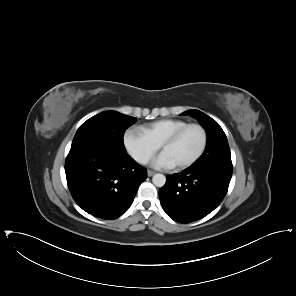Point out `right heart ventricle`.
Returning <instances> with one entry per match:
<instances>
[{
    "instance_id": "right-heart-ventricle-1",
    "label": "right heart ventricle",
    "mask_w": 296,
    "mask_h": 296,
    "mask_svg": "<svg viewBox=\"0 0 296 296\" xmlns=\"http://www.w3.org/2000/svg\"><path fill=\"white\" fill-rule=\"evenodd\" d=\"M188 125L184 120L179 119H164L151 124L144 129V133L161 147L169 137L174 133Z\"/></svg>"
}]
</instances>
